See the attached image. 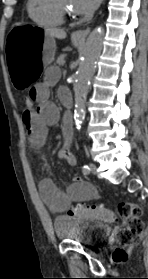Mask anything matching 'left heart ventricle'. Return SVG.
Segmentation results:
<instances>
[{
	"mask_svg": "<svg viewBox=\"0 0 148 279\" xmlns=\"http://www.w3.org/2000/svg\"><path fill=\"white\" fill-rule=\"evenodd\" d=\"M62 3L71 10L74 9L73 0H62Z\"/></svg>",
	"mask_w": 148,
	"mask_h": 279,
	"instance_id": "obj_1",
	"label": "left heart ventricle"
}]
</instances>
